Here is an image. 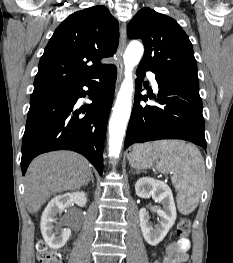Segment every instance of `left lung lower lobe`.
<instances>
[{"label":"left lung lower lobe","mask_w":233,"mask_h":263,"mask_svg":"<svg viewBox=\"0 0 233 263\" xmlns=\"http://www.w3.org/2000/svg\"><path fill=\"white\" fill-rule=\"evenodd\" d=\"M145 71L151 70L139 65L125 149L134 143L160 139H183L206 148L199 84L156 75L159 93L155 100L159 106L141 105L140 100L148 99L140 94Z\"/></svg>","instance_id":"left-lung-lower-lobe-1"}]
</instances>
